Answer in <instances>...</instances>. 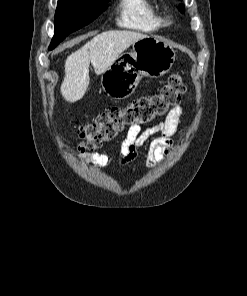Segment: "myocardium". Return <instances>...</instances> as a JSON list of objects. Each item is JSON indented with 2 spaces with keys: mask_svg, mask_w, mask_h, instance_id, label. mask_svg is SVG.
<instances>
[{
  "mask_svg": "<svg viewBox=\"0 0 247 296\" xmlns=\"http://www.w3.org/2000/svg\"><path fill=\"white\" fill-rule=\"evenodd\" d=\"M161 22H163L164 25H168L170 24V18L166 16L163 19H161Z\"/></svg>",
  "mask_w": 247,
  "mask_h": 296,
  "instance_id": "1",
  "label": "myocardium"
}]
</instances>
